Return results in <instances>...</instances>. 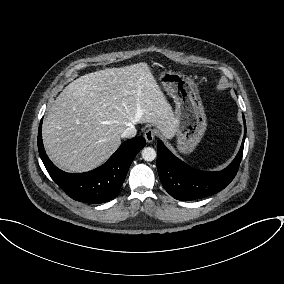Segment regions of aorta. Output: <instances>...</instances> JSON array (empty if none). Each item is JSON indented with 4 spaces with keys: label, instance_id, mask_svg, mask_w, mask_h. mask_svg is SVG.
I'll return each instance as SVG.
<instances>
[{
    "label": "aorta",
    "instance_id": "obj_1",
    "mask_svg": "<svg viewBox=\"0 0 284 284\" xmlns=\"http://www.w3.org/2000/svg\"><path fill=\"white\" fill-rule=\"evenodd\" d=\"M157 156V153L155 151V149H153L152 147H145L142 150V158L145 161H153Z\"/></svg>",
    "mask_w": 284,
    "mask_h": 284
}]
</instances>
